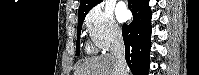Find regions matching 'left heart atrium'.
I'll list each match as a JSON object with an SVG mask.
<instances>
[{"mask_svg": "<svg viewBox=\"0 0 199 75\" xmlns=\"http://www.w3.org/2000/svg\"><path fill=\"white\" fill-rule=\"evenodd\" d=\"M117 16L120 21H125L128 18V11L124 6H120L117 9Z\"/></svg>", "mask_w": 199, "mask_h": 75, "instance_id": "obj_1", "label": "left heart atrium"}]
</instances>
